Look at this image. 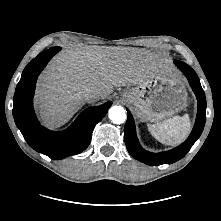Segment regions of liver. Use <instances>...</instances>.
I'll use <instances>...</instances> for the list:
<instances>
[{
	"label": "liver",
	"mask_w": 221,
	"mask_h": 221,
	"mask_svg": "<svg viewBox=\"0 0 221 221\" xmlns=\"http://www.w3.org/2000/svg\"><path fill=\"white\" fill-rule=\"evenodd\" d=\"M166 70L158 57L135 48L68 50L40 77L37 104L47 126L59 127L86 102L85 90H98L99 99H105L115 87L138 85Z\"/></svg>",
	"instance_id": "1"
}]
</instances>
